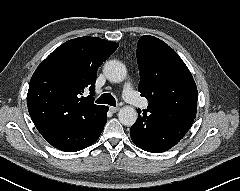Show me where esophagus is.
<instances>
[{
    "instance_id": "esophagus-1",
    "label": "esophagus",
    "mask_w": 240,
    "mask_h": 191,
    "mask_svg": "<svg viewBox=\"0 0 240 191\" xmlns=\"http://www.w3.org/2000/svg\"><path fill=\"white\" fill-rule=\"evenodd\" d=\"M111 112L116 113L119 110V107H110L109 108Z\"/></svg>"
}]
</instances>
